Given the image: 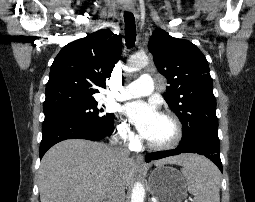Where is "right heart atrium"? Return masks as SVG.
Listing matches in <instances>:
<instances>
[{
    "label": "right heart atrium",
    "mask_w": 255,
    "mask_h": 202,
    "mask_svg": "<svg viewBox=\"0 0 255 202\" xmlns=\"http://www.w3.org/2000/svg\"><path fill=\"white\" fill-rule=\"evenodd\" d=\"M116 134L127 145H132L135 141V135L126 121L118 123Z\"/></svg>",
    "instance_id": "right-heart-atrium-1"
}]
</instances>
